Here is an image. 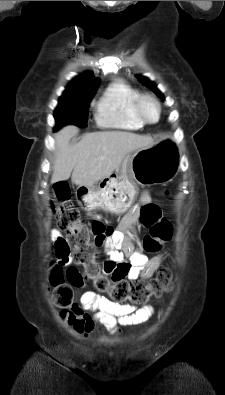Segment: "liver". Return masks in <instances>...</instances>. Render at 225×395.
Listing matches in <instances>:
<instances>
[{
  "instance_id": "liver-1",
  "label": "liver",
  "mask_w": 225,
  "mask_h": 395,
  "mask_svg": "<svg viewBox=\"0 0 225 395\" xmlns=\"http://www.w3.org/2000/svg\"><path fill=\"white\" fill-rule=\"evenodd\" d=\"M77 133L78 128L69 125L55 135L57 151L51 183L67 180L71 176L72 183L93 187L118 171L128 154L155 144L149 135L103 131L86 134L80 142L70 145V139Z\"/></svg>"
}]
</instances>
